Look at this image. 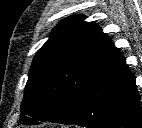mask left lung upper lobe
Returning a JSON list of instances; mask_svg holds the SVG:
<instances>
[{"instance_id": "left-lung-upper-lobe-1", "label": "left lung upper lobe", "mask_w": 142, "mask_h": 128, "mask_svg": "<svg viewBox=\"0 0 142 128\" xmlns=\"http://www.w3.org/2000/svg\"><path fill=\"white\" fill-rule=\"evenodd\" d=\"M120 51L99 26L81 15L61 21L32 62L20 107L24 124L68 115L85 86Z\"/></svg>"}]
</instances>
